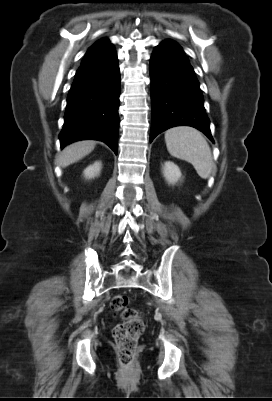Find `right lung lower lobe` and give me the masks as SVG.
<instances>
[{"label": "right lung lower lobe", "instance_id": "98d812e1", "mask_svg": "<svg viewBox=\"0 0 272 401\" xmlns=\"http://www.w3.org/2000/svg\"><path fill=\"white\" fill-rule=\"evenodd\" d=\"M120 72L113 45L83 59L67 98L61 147L84 139L105 142L117 153Z\"/></svg>", "mask_w": 272, "mask_h": 401}]
</instances>
